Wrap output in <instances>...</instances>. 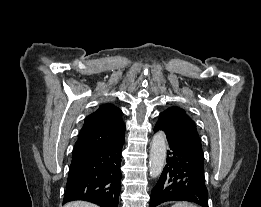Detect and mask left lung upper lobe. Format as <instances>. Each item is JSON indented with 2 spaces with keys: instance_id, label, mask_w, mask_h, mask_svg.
Returning <instances> with one entry per match:
<instances>
[{
  "instance_id": "left-lung-upper-lobe-1",
  "label": "left lung upper lobe",
  "mask_w": 261,
  "mask_h": 207,
  "mask_svg": "<svg viewBox=\"0 0 261 207\" xmlns=\"http://www.w3.org/2000/svg\"><path fill=\"white\" fill-rule=\"evenodd\" d=\"M157 123L168 132L195 157L204 161L201 140L195 122L180 107L172 106L160 113Z\"/></svg>"
}]
</instances>
